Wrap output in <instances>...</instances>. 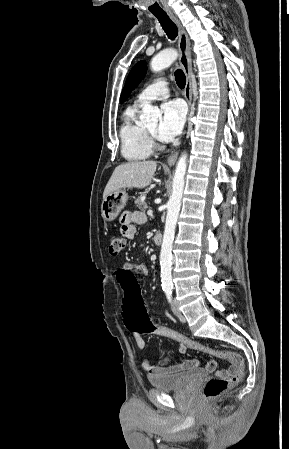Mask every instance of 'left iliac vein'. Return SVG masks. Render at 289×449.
Instances as JSON below:
<instances>
[{
	"instance_id": "4c4485c4",
	"label": "left iliac vein",
	"mask_w": 289,
	"mask_h": 449,
	"mask_svg": "<svg viewBox=\"0 0 289 449\" xmlns=\"http://www.w3.org/2000/svg\"><path fill=\"white\" fill-rule=\"evenodd\" d=\"M171 307H172L173 313L179 318V320L182 322H185L186 319H185L184 315L182 314L181 310L179 309V306L176 301L172 302Z\"/></svg>"
}]
</instances>
